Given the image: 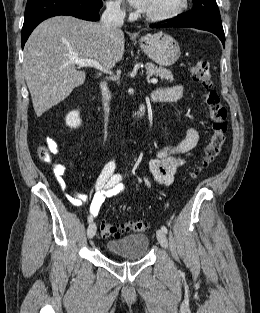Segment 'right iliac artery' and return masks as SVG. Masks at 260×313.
<instances>
[{
    "instance_id": "1",
    "label": "right iliac artery",
    "mask_w": 260,
    "mask_h": 313,
    "mask_svg": "<svg viewBox=\"0 0 260 313\" xmlns=\"http://www.w3.org/2000/svg\"><path fill=\"white\" fill-rule=\"evenodd\" d=\"M92 221H93L92 217L89 216V217H88V222L91 223Z\"/></svg>"
}]
</instances>
